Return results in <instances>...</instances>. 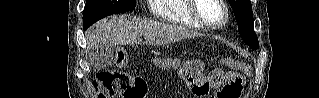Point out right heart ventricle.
I'll return each instance as SVG.
<instances>
[{
    "instance_id": "e07e8e85",
    "label": "right heart ventricle",
    "mask_w": 319,
    "mask_h": 98,
    "mask_svg": "<svg viewBox=\"0 0 319 98\" xmlns=\"http://www.w3.org/2000/svg\"><path fill=\"white\" fill-rule=\"evenodd\" d=\"M151 10L155 18L196 30L202 27L190 13V0H151Z\"/></svg>"
}]
</instances>
